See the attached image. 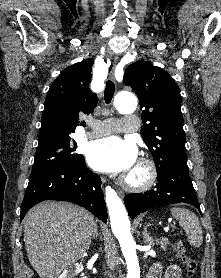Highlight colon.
Returning <instances> with one entry per match:
<instances>
[{"label":"colon","mask_w":221,"mask_h":278,"mask_svg":"<svg viewBox=\"0 0 221 278\" xmlns=\"http://www.w3.org/2000/svg\"><path fill=\"white\" fill-rule=\"evenodd\" d=\"M177 257L183 262L185 266V278H196L197 262L187 255L185 246L181 242H177L173 246Z\"/></svg>","instance_id":"1"}]
</instances>
